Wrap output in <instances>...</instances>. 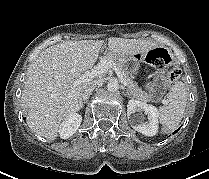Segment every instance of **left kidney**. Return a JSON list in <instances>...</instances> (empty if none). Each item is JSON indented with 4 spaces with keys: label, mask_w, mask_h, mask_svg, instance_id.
Masks as SVG:
<instances>
[{
    "label": "left kidney",
    "mask_w": 209,
    "mask_h": 179,
    "mask_svg": "<svg viewBox=\"0 0 209 179\" xmlns=\"http://www.w3.org/2000/svg\"><path fill=\"white\" fill-rule=\"evenodd\" d=\"M144 111V113L148 116V121L143 122L142 119L136 115L137 112ZM127 115L130 119V123L132 127L146 135V136H154L158 132V110L155 106L146 104L145 102H141L139 100L131 99L127 104Z\"/></svg>",
    "instance_id": "left-kidney-1"
}]
</instances>
